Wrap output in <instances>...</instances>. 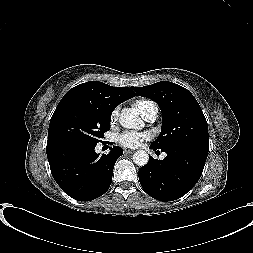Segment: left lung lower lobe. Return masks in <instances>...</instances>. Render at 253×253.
<instances>
[{
  "instance_id": "left-lung-lower-lobe-1",
  "label": "left lung lower lobe",
  "mask_w": 253,
  "mask_h": 253,
  "mask_svg": "<svg viewBox=\"0 0 253 253\" xmlns=\"http://www.w3.org/2000/svg\"><path fill=\"white\" fill-rule=\"evenodd\" d=\"M155 151L153 145H150ZM167 157L148 163L138 172L142 188L160 201H173L185 195L200 179L208 150L188 145H175L163 149Z\"/></svg>"
}]
</instances>
